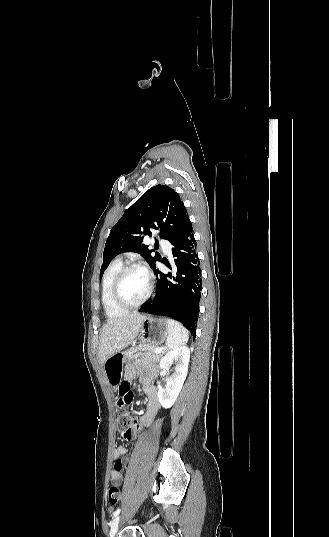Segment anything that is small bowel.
I'll return each mask as SVG.
<instances>
[{
  "label": "small bowel",
  "instance_id": "c3829d8e",
  "mask_svg": "<svg viewBox=\"0 0 329 537\" xmlns=\"http://www.w3.org/2000/svg\"><path fill=\"white\" fill-rule=\"evenodd\" d=\"M137 370L135 367L130 366L126 372V377H121L119 381L118 389V401L119 408L122 406H130L134 402L136 393L132 390L134 384L133 377L136 375ZM141 379L144 382L143 392L146 394L147 409L144 415L137 420L132 428L127 433H122L123 439L126 441H133L136 439L143 426H150L154 417L159 409V398L157 389L148 383L149 376L142 374ZM126 449L122 446H118L114 450V468L111 472V481L116 484H121L123 481V469L125 468L128 459L125 457Z\"/></svg>",
  "mask_w": 329,
  "mask_h": 537
}]
</instances>
